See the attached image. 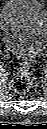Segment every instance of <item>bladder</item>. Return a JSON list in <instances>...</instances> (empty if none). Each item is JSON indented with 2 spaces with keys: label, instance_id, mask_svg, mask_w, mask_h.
I'll list each match as a JSON object with an SVG mask.
<instances>
[{
  "label": "bladder",
  "instance_id": "1",
  "mask_svg": "<svg viewBox=\"0 0 47 129\" xmlns=\"http://www.w3.org/2000/svg\"><path fill=\"white\" fill-rule=\"evenodd\" d=\"M2 42L19 57H34L44 51L47 11L39 0H7L0 16Z\"/></svg>",
  "mask_w": 47,
  "mask_h": 129
}]
</instances>
